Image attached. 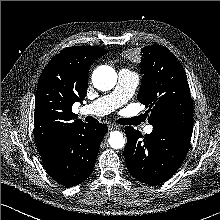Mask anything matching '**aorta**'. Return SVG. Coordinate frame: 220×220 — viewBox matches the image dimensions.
Here are the masks:
<instances>
[{
    "label": "aorta",
    "mask_w": 220,
    "mask_h": 220,
    "mask_svg": "<svg viewBox=\"0 0 220 220\" xmlns=\"http://www.w3.org/2000/svg\"><path fill=\"white\" fill-rule=\"evenodd\" d=\"M92 82L95 88L101 91L111 90L117 82V74L110 66H99L92 74ZM111 148L120 149L125 146V137L119 131L110 133L108 139Z\"/></svg>",
    "instance_id": "1"
}]
</instances>
